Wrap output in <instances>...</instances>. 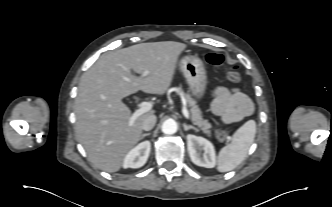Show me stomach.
<instances>
[{
    "instance_id": "0dacf381",
    "label": "stomach",
    "mask_w": 332,
    "mask_h": 207,
    "mask_svg": "<svg viewBox=\"0 0 332 207\" xmlns=\"http://www.w3.org/2000/svg\"><path fill=\"white\" fill-rule=\"evenodd\" d=\"M179 67L186 78L192 95L201 99L207 88V75L202 60L197 56H185L181 59Z\"/></svg>"
}]
</instances>
